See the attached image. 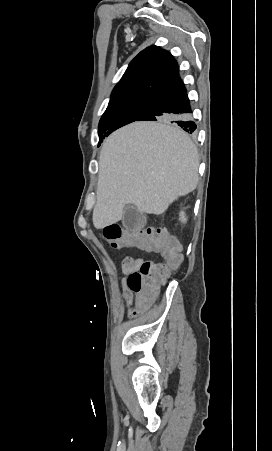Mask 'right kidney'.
I'll return each mask as SVG.
<instances>
[{
	"instance_id": "1",
	"label": "right kidney",
	"mask_w": 272,
	"mask_h": 451,
	"mask_svg": "<svg viewBox=\"0 0 272 451\" xmlns=\"http://www.w3.org/2000/svg\"><path fill=\"white\" fill-rule=\"evenodd\" d=\"M179 220H181V222H183V224H185V222H187V218L185 216V212H180Z\"/></svg>"
}]
</instances>
